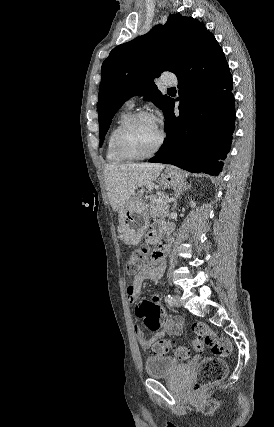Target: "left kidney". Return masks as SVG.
I'll return each instance as SVG.
<instances>
[{"label": "left kidney", "instance_id": "obj_1", "mask_svg": "<svg viewBox=\"0 0 274 427\" xmlns=\"http://www.w3.org/2000/svg\"><path fill=\"white\" fill-rule=\"evenodd\" d=\"M190 206H191V208H195V206H196L195 202H190Z\"/></svg>", "mask_w": 274, "mask_h": 427}]
</instances>
